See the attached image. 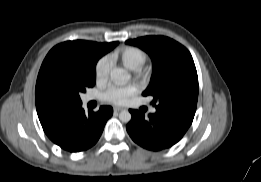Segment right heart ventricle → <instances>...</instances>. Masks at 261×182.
Masks as SVG:
<instances>
[{"label": "right heart ventricle", "mask_w": 261, "mask_h": 182, "mask_svg": "<svg viewBox=\"0 0 261 182\" xmlns=\"http://www.w3.org/2000/svg\"><path fill=\"white\" fill-rule=\"evenodd\" d=\"M119 60L130 70L140 69L147 59V54L144 50L135 46H127L119 51Z\"/></svg>", "instance_id": "e07e8e85"}]
</instances>
